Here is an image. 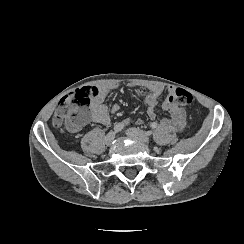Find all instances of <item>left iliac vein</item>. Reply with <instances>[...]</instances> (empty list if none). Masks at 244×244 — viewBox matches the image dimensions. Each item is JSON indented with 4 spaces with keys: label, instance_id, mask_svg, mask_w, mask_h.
<instances>
[{
    "label": "left iliac vein",
    "instance_id": "left-iliac-vein-1",
    "mask_svg": "<svg viewBox=\"0 0 244 244\" xmlns=\"http://www.w3.org/2000/svg\"><path fill=\"white\" fill-rule=\"evenodd\" d=\"M126 134L133 139L139 140L145 145H148L150 143V139L147 134L138 128H129L126 131Z\"/></svg>",
    "mask_w": 244,
    "mask_h": 244
}]
</instances>
